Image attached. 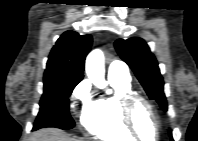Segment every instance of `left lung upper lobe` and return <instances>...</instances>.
<instances>
[{
  "mask_svg": "<svg viewBox=\"0 0 198 141\" xmlns=\"http://www.w3.org/2000/svg\"><path fill=\"white\" fill-rule=\"evenodd\" d=\"M115 48L120 57L134 71L149 98L156 100L166 111L167 102L163 91V78L157 60L150 52L146 42L141 38L118 39L115 42Z\"/></svg>",
  "mask_w": 198,
  "mask_h": 141,
  "instance_id": "5c2ea615",
  "label": "left lung upper lobe"
}]
</instances>
